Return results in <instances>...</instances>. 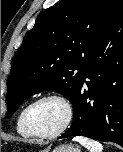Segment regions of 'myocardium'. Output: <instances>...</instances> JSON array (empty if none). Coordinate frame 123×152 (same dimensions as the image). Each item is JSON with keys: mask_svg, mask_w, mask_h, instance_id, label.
Instances as JSON below:
<instances>
[{"mask_svg": "<svg viewBox=\"0 0 123 152\" xmlns=\"http://www.w3.org/2000/svg\"><path fill=\"white\" fill-rule=\"evenodd\" d=\"M45 100H57L60 103H62L66 110V118H65L64 123L58 130H56L52 133L42 134V133L36 132L32 128V126L30 124V114H31L32 109L37 104H39L40 102L45 101ZM73 116H74L73 106L66 96H64L60 93H47V94H44V95L38 97L37 99L32 101L26 107L24 116H23V123H24L26 130L32 137L39 138V139H53V138H56V137L60 136L61 134H63L69 128V126L73 120Z\"/></svg>", "mask_w": 123, "mask_h": 152, "instance_id": "f54148a6", "label": "myocardium"}]
</instances>
